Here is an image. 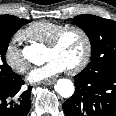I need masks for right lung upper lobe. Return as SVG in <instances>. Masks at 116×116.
<instances>
[{
    "label": "right lung upper lobe",
    "mask_w": 116,
    "mask_h": 116,
    "mask_svg": "<svg viewBox=\"0 0 116 116\" xmlns=\"http://www.w3.org/2000/svg\"><path fill=\"white\" fill-rule=\"evenodd\" d=\"M0 20L16 22L22 19H19L18 17L12 16V15H0Z\"/></svg>",
    "instance_id": "cb5924a9"
}]
</instances>
